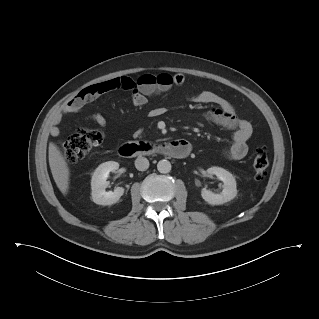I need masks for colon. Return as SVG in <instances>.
<instances>
[{"label":"colon","instance_id":"1","mask_svg":"<svg viewBox=\"0 0 319 319\" xmlns=\"http://www.w3.org/2000/svg\"><path fill=\"white\" fill-rule=\"evenodd\" d=\"M166 74H144L136 80L127 79L120 84L123 90L150 91L155 87L169 83ZM104 133L99 129H79L60 142V148L64 158L74 163L83 159L92 149L99 146L103 141ZM252 166L257 180H262L269 166L268 154L264 149H258L254 153Z\"/></svg>","mask_w":319,"mask_h":319}]
</instances>
